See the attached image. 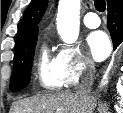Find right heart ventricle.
Here are the masks:
<instances>
[{
    "mask_svg": "<svg viewBox=\"0 0 123 113\" xmlns=\"http://www.w3.org/2000/svg\"><path fill=\"white\" fill-rule=\"evenodd\" d=\"M37 68L41 86L49 90H56L63 86L58 73L56 58L51 57L46 48L41 50Z\"/></svg>",
    "mask_w": 123,
    "mask_h": 113,
    "instance_id": "right-heart-ventricle-1",
    "label": "right heart ventricle"
}]
</instances>
